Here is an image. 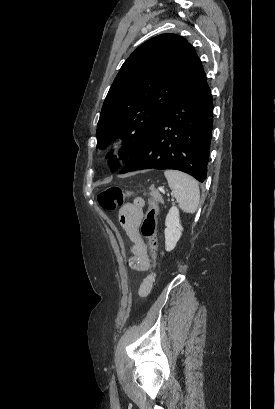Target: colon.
<instances>
[{
	"instance_id": "5ec220e1",
	"label": "colon",
	"mask_w": 275,
	"mask_h": 409,
	"mask_svg": "<svg viewBox=\"0 0 275 409\" xmlns=\"http://www.w3.org/2000/svg\"><path fill=\"white\" fill-rule=\"evenodd\" d=\"M131 194L122 190L119 187H110L101 191L97 197L99 205L103 208L105 216H112L114 211L120 209L122 205L130 198ZM159 206L156 201L151 200L148 211L141 223L140 232L144 239L148 241L149 254L152 258V269L150 275L153 274L156 267V256L158 249V238L156 236V227L158 224ZM150 283L147 284V287ZM149 290L145 292V295Z\"/></svg>"
}]
</instances>
